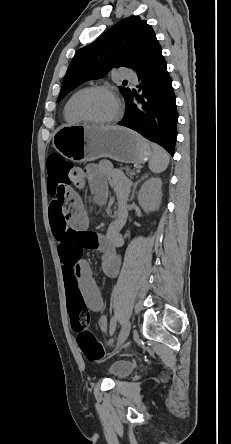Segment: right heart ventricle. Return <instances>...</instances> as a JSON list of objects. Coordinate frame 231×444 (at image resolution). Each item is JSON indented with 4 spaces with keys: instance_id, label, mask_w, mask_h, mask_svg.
Listing matches in <instances>:
<instances>
[{
    "instance_id": "obj_1",
    "label": "right heart ventricle",
    "mask_w": 231,
    "mask_h": 444,
    "mask_svg": "<svg viewBox=\"0 0 231 444\" xmlns=\"http://www.w3.org/2000/svg\"><path fill=\"white\" fill-rule=\"evenodd\" d=\"M84 88H79L76 91H74L69 98L67 99L65 105H64V109H63V116L64 119L66 120V122L70 123V124H79L82 122V120L77 116V114L75 113V101L78 97V95L81 93V91Z\"/></svg>"
}]
</instances>
